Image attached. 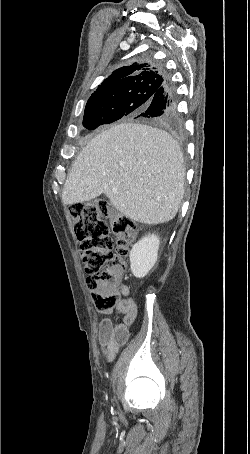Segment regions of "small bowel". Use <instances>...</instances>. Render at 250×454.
<instances>
[{
	"label": "small bowel",
	"instance_id": "c3829d8e",
	"mask_svg": "<svg viewBox=\"0 0 250 454\" xmlns=\"http://www.w3.org/2000/svg\"><path fill=\"white\" fill-rule=\"evenodd\" d=\"M121 292L125 298L118 303L116 308L117 319H121V321L113 322L109 318H104L99 325L98 340L108 362L114 360L119 348L127 342L129 327L137 316V306L129 297V290L122 287Z\"/></svg>",
	"mask_w": 250,
	"mask_h": 454
}]
</instances>
